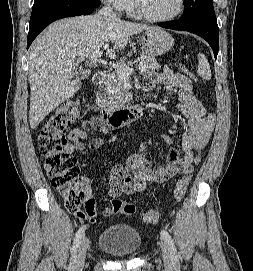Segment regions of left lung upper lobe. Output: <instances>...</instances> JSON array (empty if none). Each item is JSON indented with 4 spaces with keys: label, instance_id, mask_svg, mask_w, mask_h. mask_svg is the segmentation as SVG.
<instances>
[{
    "label": "left lung upper lobe",
    "instance_id": "1",
    "mask_svg": "<svg viewBox=\"0 0 253 271\" xmlns=\"http://www.w3.org/2000/svg\"><path fill=\"white\" fill-rule=\"evenodd\" d=\"M184 13L180 21L190 23L194 20L215 14L212 0H185Z\"/></svg>",
    "mask_w": 253,
    "mask_h": 271
}]
</instances>
